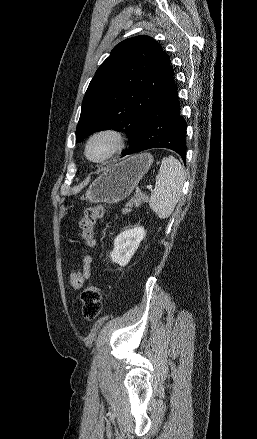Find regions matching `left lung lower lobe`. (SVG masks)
I'll list each match as a JSON object with an SVG mask.
<instances>
[{
	"label": "left lung lower lobe",
	"instance_id": "1",
	"mask_svg": "<svg viewBox=\"0 0 257 439\" xmlns=\"http://www.w3.org/2000/svg\"><path fill=\"white\" fill-rule=\"evenodd\" d=\"M186 127L180 116L178 91L174 77L145 114L137 144L126 155L151 148H167L186 160Z\"/></svg>",
	"mask_w": 257,
	"mask_h": 439
}]
</instances>
